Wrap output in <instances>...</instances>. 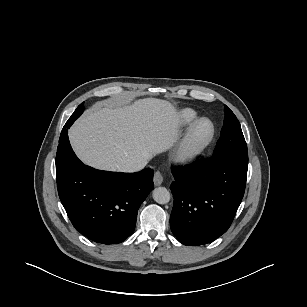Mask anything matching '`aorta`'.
I'll return each instance as SVG.
<instances>
[{"mask_svg":"<svg viewBox=\"0 0 307 307\" xmlns=\"http://www.w3.org/2000/svg\"><path fill=\"white\" fill-rule=\"evenodd\" d=\"M171 194L165 187H157L153 190V199L158 204H166L170 201Z\"/></svg>","mask_w":307,"mask_h":307,"instance_id":"aorta-1","label":"aorta"}]
</instances>
